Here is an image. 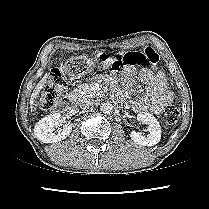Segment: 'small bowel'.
Wrapping results in <instances>:
<instances>
[{"label": "small bowel", "instance_id": "small-bowel-1", "mask_svg": "<svg viewBox=\"0 0 209 209\" xmlns=\"http://www.w3.org/2000/svg\"><path fill=\"white\" fill-rule=\"evenodd\" d=\"M127 87H132L133 82L138 76V69L135 66H128L125 69ZM139 78L147 87V96L136 99L132 102V108L136 112L151 111L155 114H161L173 101V93L168 90L167 80L164 73L160 70H151L143 67L139 71ZM104 80L111 84H115L113 77L107 75ZM116 97L125 98V93L120 88L114 89Z\"/></svg>", "mask_w": 209, "mask_h": 209}]
</instances>
